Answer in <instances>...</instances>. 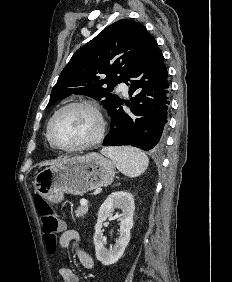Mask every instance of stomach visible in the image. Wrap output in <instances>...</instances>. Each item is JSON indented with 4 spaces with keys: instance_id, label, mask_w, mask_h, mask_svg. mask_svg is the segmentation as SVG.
Returning a JSON list of instances; mask_svg holds the SVG:
<instances>
[{
    "instance_id": "1",
    "label": "stomach",
    "mask_w": 232,
    "mask_h": 282,
    "mask_svg": "<svg viewBox=\"0 0 232 282\" xmlns=\"http://www.w3.org/2000/svg\"><path fill=\"white\" fill-rule=\"evenodd\" d=\"M114 163L98 153L65 158L37 173L36 192L52 203L61 202L64 193L82 196L108 186L115 176Z\"/></svg>"
}]
</instances>
